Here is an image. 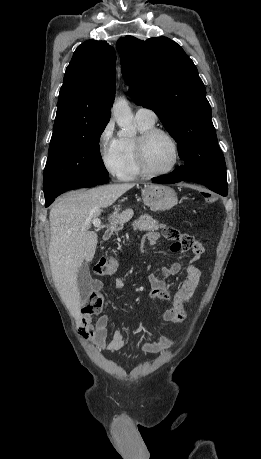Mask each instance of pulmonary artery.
Instances as JSON below:
<instances>
[{
  "mask_svg": "<svg viewBox=\"0 0 261 459\" xmlns=\"http://www.w3.org/2000/svg\"><path fill=\"white\" fill-rule=\"evenodd\" d=\"M135 118L138 120H145L149 122H155L157 119V115L151 109L140 107L136 110Z\"/></svg>",
  "mask_w": 261,
  "mask_h": 459,
  "instance_id": "obj_1",
  "label": "pulmonary artery"
}]
</instances>
